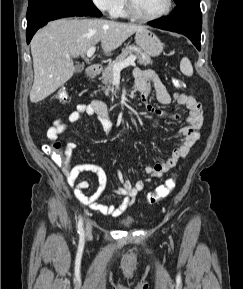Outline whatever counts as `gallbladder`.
I'll list each match as a JSON object with an SVG mask.
<instances>
[{
  "label": "gallbladder",
  "mask_w": 243,
  "mask_h": 289,
  "mask_svg": "<svg viewBox=\"0 0 243 289\" xmlns=\"http://www.w3.org/2000/svg\"><path fill=\"white\" fill-rule=\"evenodd\" d=\"M84 70V67L82 65H76L75 66V72L80 73Z\"/></svg>",
  "instance_id": "bac80fb5"
}]
</instances>
